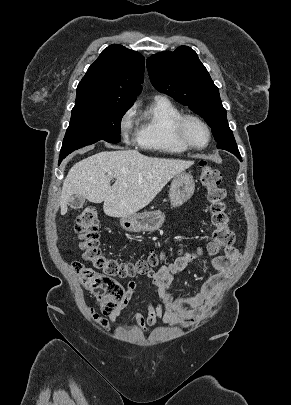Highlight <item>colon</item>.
Instances as JSON below:
<instances>
[{
    "label": "colon",
    "mask_w": 291,
    "mask_h": 405,
    "mask_svg": "<svg viewBox=\"0 0 291 405\" xmlns=\"http://www.w3.org/2000/svg\"><path fill=\"white\" fill-rule=\"evenodd\" d=\"M200 166L199 180L206 189L213 226L207 249L211 255H216L222 249L232 247L235 236L229 228L226 192L220 187L221 173L206 162H201ZM74 229L79 238L82 257L91 266L79 261L73 262L72 266L85 290L97 298L102 312L110 316L118 310L125 293L117 278L147 273L159 263L162 255L151 253L134 261L106 256L100 247L99 220L93 207L81 212L75 221Z\"/></svg>",
    "instance_id": "1"
}]
</instances>
